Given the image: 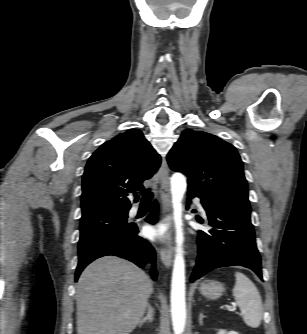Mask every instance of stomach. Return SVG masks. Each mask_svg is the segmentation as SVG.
<instances>
[{
	"label": "stomach",
	"mask_w": 307,
	"mask_h": 334,
	"mask_svg": "<svg viewBox=\"0 0 307 334\" xmlns=\"http://www.w3.org/2000/svg\"><path fill=\"white\" fill-rule=\"evenodd\" d=\"M199 290L204 297L215 300L223 294L224 287L218 281L206 280L201 283Z\"/></svg>",
	"instance_id": "1"
}]
</instances>
